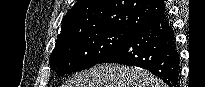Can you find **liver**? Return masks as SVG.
Returning <instances> with one entry per match:
<instances>
[{"label":"liver","instance_id":"obj_1","mask_svg":"<svg viewBox=\"0 0 205 87\" xmlns=\"http://www.w3.org/2000/svg\"><path fill=\"white\" fill-rule=\"evenodd\" d=\"M64 87H164V84L145 70L102 64L73 75Z\"/></svg>","mask_w":205,"mask_h":87}]
</instances>
